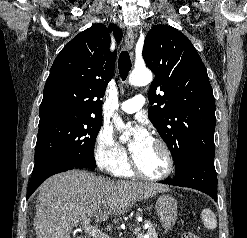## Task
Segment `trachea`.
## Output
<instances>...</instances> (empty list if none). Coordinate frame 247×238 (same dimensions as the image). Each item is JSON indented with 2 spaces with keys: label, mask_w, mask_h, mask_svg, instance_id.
Returning a JSON list of instances; mask_svg holds the SVG:
<instances>
[{
  "label": "trachea",
  "mask_w": 247,
  "mask_h": 238,
  "mask_svg": "<svg viewBox=\"0 0 247 238\" xmlns=\"http://www.w3.org/2000/svg\"><path fill=\"white\" fill-rule=\"evenodd\" d=\"M131 60L127 51H122L119 56L118 69L122 80H126L129 71L131 70Z\"/></svg>",
  "instance_id": "3493384b"
}]
</instances>
